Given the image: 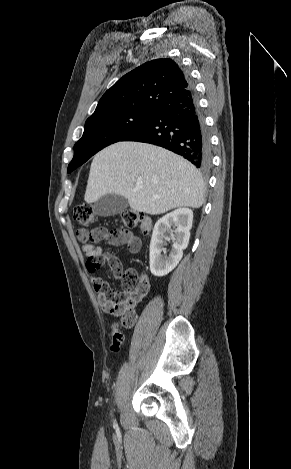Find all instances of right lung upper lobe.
Listing matches in <instances>:
<instances>
[{
    "mask_svg": "<svg viewBox=\"0 0 291 469\" xmlns=\"http://www.w3.org/2000/svg\"><path fill=\"white\" fill-rule=\"evenodd\" d=\"M189 85L187 75L172 59L146 62L108 89L88 119L131 109L155 110L164 100Z\"/></svg>",
    "mask_w": 291,
    "mask_h": 469,
    "instance_id": "right-lung-upper-lobe-1",
    "label": "right lung upper lobe"
}]
</instances>
